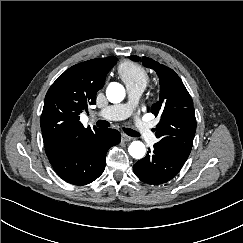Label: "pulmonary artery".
I'll return each mask as SVG.
<instances>
[{
    "label": "pulmonary artery",
    "instance_id": "obj_1",
    "mask_svg": "<svg viewBox=\"0 0 243 243\" xmlns=\"http://www.w3.org/2000/svg\"><path fill=\"white\" fill-rule=\"evenodd\" d=\"M143 89L141 86H127L128 101L126 103L108 106L97 112L96 115L106 120H120L129 117L133 113ZM134 125L136 131L147 143H155L156 138L149 123L141 117H135Z\"/></svg>",
    "mask_w": 243,
    "mask_h": 243
}]
</instances>
